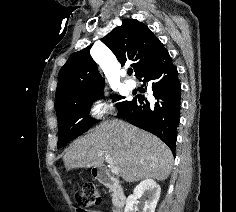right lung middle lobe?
<instances>
[{
	"instance_id": "right-lung-middle-lobe-1",
	"label": "right lung middle lobe",
	"mask_w": 236,
	"mask_h": 212,
	"mask_svg": "<svg viewBox=\"0 0 236 212\" xmlns=\"http://www.w3.org/2000/svg\"><path fill=\"white\" fill-rule=\"evenodd\" d=\"M103 92L81 97L63 109L56 111L58 119V145L60 148L86 132L97 120L89 116L92 102L103 98ZM123 96L115 95L114 101L123 99ZM130 101H121L116 104V107L121 109Z\"/></svg>"
}]
</instances>
